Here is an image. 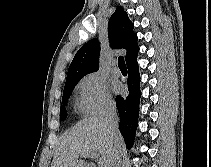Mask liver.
<instances>
[{"label":"liver","mask_w":211,"mask_h":167,"mask_svg":"<svg viewBox=\"0 0 211 167\" xmlns=\"http://www.w3.org/2000/svg\"><path fill=\"white\" fill-rule=\"evenodd\" d=\"M124 149L120 135L114 137L108 130L105 118L90 117L78 122L69 132H65L58 142L51 167H88L82 155L98 152V167H112L117 150Z\"/></svg>","instance_id":"1"}]
</instances>
